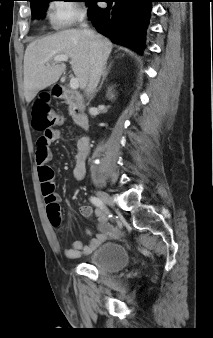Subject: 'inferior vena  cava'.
Instances as JSON below:
<instances>
[{
    "label": "inferior vena cava",
    "instance_id": "obj_1",
    "mask_svg": "<svg viewBox=\"0 0 213 338\" xmlns=\"http://www.w3.org/2000/svg\"><path fill=\"white\" fill-rule=\"evenodd\" d=\"M81 27L83 28V33L89 38L91 53L90 77L85 89V94L87 97H92L103 73L107 55L103 53L100 41L96 37L95 33L88 29V25L85 22H82Z\"/></svg>",
    "mask_w": 213,
    "mask_h": 338
}]
</instances>
